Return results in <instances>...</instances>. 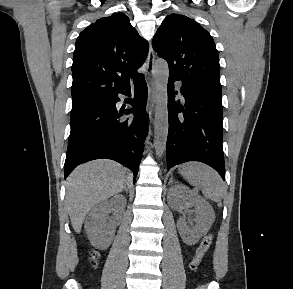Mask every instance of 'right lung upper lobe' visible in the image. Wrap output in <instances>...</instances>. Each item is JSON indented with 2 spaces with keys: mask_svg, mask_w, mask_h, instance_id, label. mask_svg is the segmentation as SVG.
Here are the masks:
<instances>
[{
  "mask_svg": "<svg viewBox=\"0 0 293 289\" xmlns=\"http://www.w3.org/2000/svg\"><path fill=\"white\" fill-rule=\"evenodd\" d=\"M148 54L124 13L101 18L82 31L73 54L72 103L104 100L130 88L142 76L137 69Z\"/></svg>",
  "mask_w": 293,
  "mask_h": 289,
  "instance_id": "obj_1",
  "label": "right lung upper lobe"
}]
</instances>
